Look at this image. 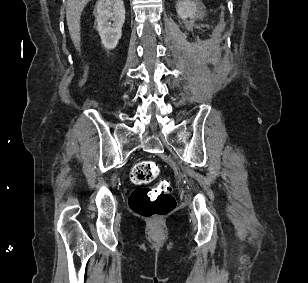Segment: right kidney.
I'll list each match as a JSON object with an SVG mask.
<instances>
[{"instance_id":"1","label":"right kidney","mask_w":308,"mask_h":283,"mask_svg":"<svg viewBox=\"0 0 308 283\" xmlns=\"http://www.w3.org/2000/svg\"><path fill=\"white\" fill-rule=\"evenodd\" d=\"M113 21V24L109 22ZM125 21L123 0H99L96 5L97 30L103 46L107 50L115 49Z\"/></svg>"}]
</instances>
